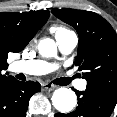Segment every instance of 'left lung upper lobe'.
I'll use <instances>...</instances> for the list:
<instances>
[{"label": "left lung upper lobe", "instance_id": "5c2ea615", "mask_svg": "<svg viewBox=\"0 0 117 117\" xmlns=\"http://www.w3.org/2000/svg\"><path fill=\"white\" fill-rule=\"evenodd\" d=\"M79 36L76 66L83 70L87 89L117 94V34L100 15L75 9H53Z\"/></svg>", "mask_w": 117, "mask_h": 117}]
</instances>
